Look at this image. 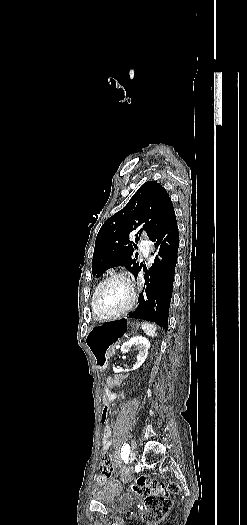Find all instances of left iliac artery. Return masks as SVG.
Instances as JSON below:
<instances>
[{
  "label": "left iliac artery",
  "mask_w": 247,
  "mask_h": 525,
  "mask_svg": "<svg viewBox=\"0 0 247 525\" xmlns=\"http://www.w3.org/2000/svg\"><path fill=\"white\" fill-rule=\"evenodd\" d=\"M129 453H130V446L128 443H124L122 448H121V456L122 458H127L129 456Z\"/></svg>",
  "instance_id": "obj_1"
}]
</instances>
